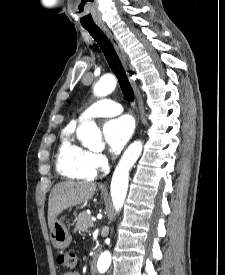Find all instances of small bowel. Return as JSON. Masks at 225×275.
<instances>
[{
	"label": "small bowel",
	"mask_w": 225,
	"mask_h": 275,
	"mask_svg": "<svg viewBox=\"0 0 225 275\" xmlns=\"http://www.w3.org/2000/svg\"><path fill=\"white\" fill-rule=\"evenodd\" d=\"M63 275H80L78 272L73 271V272H65Z\"/></svg>",
	"instance_id": "c3829d8e"
}]
</instances>
